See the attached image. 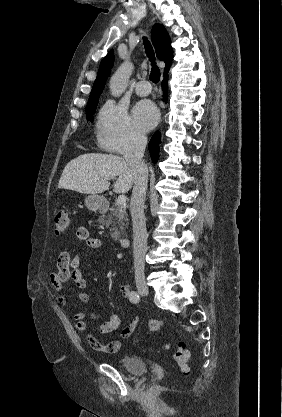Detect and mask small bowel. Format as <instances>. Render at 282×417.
Returning a JSON list of instances; mask_svg holds the SVG:
<instances>
[{"instance_id":"1","label":"small bowel","mask_w":282,"mask_h":417,"mask_svg":"<svg viewBox=\"0 0 282 417\" xmlns=\"http://www.w3.org/2000/svg\"><path fill=\"white\" fill-rule=\"evenodd\" d=\"M76 236L78 241L84 244L86 249L94 250L96 252L94 258H99L103 254L101 240L91 236L86 227H78ZM81 263V252L71 253L69 251H64L57 257L56 268L50 275V281L54 288V297L62 307L67 306V296L63 288L70 279L73 280L79 289L86 287V279L80 268ZM119 291L125 298H128L131 293V285L127 282H123L119 285ZM79 298L82 302H86L88 299L85 293H80ZM90 315L93 319L102 321L99 326V332L103 335L109 334L119 327L120 319L116 314H110L107 317H104L98 312H92ZM86 316L87 313L84 311H79L74 314L73 321L75 328L78 332L85 334V340L93 350L105 354L117 352L122 346V339L129 338L135 331L139 322V317L137 315L134 316L131 322L121 330L119 339L102 342L92 334L87 333Z\"/></svg>"}]
</instances>
